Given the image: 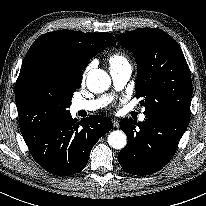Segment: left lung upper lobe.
<instances>
[{"label": "left lung upper lobe", "instance_id": "1", "mask_svg": "<svg viewBox=\"0 0 206 206\" xmlns=\"http://www.w3.org/2000/svg\"><path fill=\"white\" fill-rule=\"evenodd\" d=\"M137 62L136 96L144 100V114L162 113L190 118L192 82L177 42L156 28H140L116 35Z\"/></svg>", "mask_w": 206, "mask_h": 206}]
</instances>
